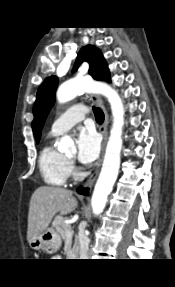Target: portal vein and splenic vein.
Here are the masks:
<instances>
[{"label":"portal vein and splenic vein","mask_w":175,"mask_h":287,"mask_svg":"<svg viewBox=\"0 0 175 287\" xmlns=\"http://www.w3.org/2000/svg\"><path fill=\"white\" fill-rule=\"evenodd\" d=\"M73 234V231L71 229H66V235L71 236Z\"/></svg>","instance_id":"18ae733b"}]
</instances>
